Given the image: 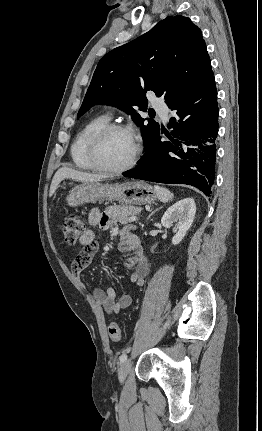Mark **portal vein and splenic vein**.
<instances>
[{
  "label": "portal vein and splenic vein",
  "instance_id": "1",
  "mask_svg": "<svg viewBox=\"0 0 262 431\" xmlns=\"http://www.w3.org/2000/svg\"><path fill=\"white\" fill-rule=\"evenodd\" d=\"M138 218L136 217V216H131L130 217V219H129V221L130 222H134V221H136Z\"/></svg>",
  "mask_w": 262,
  "mask_h": 431
}]
</instances>
